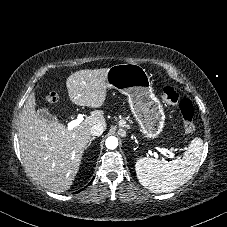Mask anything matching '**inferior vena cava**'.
Returning <instances> with one entry per match:
<instances>
[{"mask_svg": "<svg viewBox=\"0 0 227 227\" xmlns=\"http://www.w3.org/2000/svg\"><path fill=\"white\" fill-rule=\"evenodd\" d=\"M105 130V126L102 124H95L91 127L90 133L93 136H100Z\"/></svg>", "mask_w": 227, "mask_h": 227, "instance_id": "obj_1", "label": "inferior vena cava"}]
</instances>
